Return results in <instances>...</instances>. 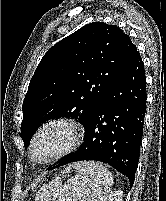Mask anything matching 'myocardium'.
Wrapping results in <instances>:
<instances>
[{
	"mask_svg": "<svg viewBox=\"0 0 166 201\" xmlns=\"http://www.w3.org/2000/svg\"><path fill=\"white\" fill-rule=\"evenodd\" d=\"M52 126L66 127L71 133L70 141L63 150H61L55 154H52L44 159H37L35 157V148H36L37 141H38L39 137L43 134V132H45L48 128H50ZM81 139H82V130L76 122H74L73 120H70V119H66V118L51 119V120L43 123L35 131L32 139H31L30 146H29L30 160L33 163L38 164V165H46V164H50L55 161H58V160L64 158L65 156L71 154L74 150H76V148L79 146V144L81 142Z\"/></svg>",
	"mask_w": 166,
	"mask_h": 201,
	"instance_id": "obj_1",
	"label": "myocardium"
}]
</instances>
